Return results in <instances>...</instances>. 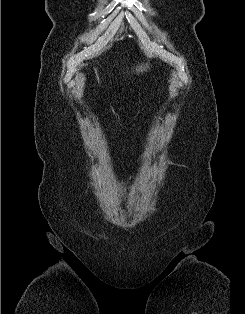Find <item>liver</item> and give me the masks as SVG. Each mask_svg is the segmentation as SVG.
I'll return each instance as SVG.
<instances>
[{
	"mask_svg": "<svg viewBox=\"0 0 245 314\" xmlns=\"http://www.w3.org/2000/svg\"><path fill=\"white\" fill-rule=\"evenodd\" d=\"M147 68H149V67H148V64H146V65H141V66H138V67L136 68V71H137V72H143V71H146Z\"/></svg>",
	"mask_w": 245,
	"mask_h": 314,
	"instance_id": "1",
	"label": "liver"
}]
</instances>
